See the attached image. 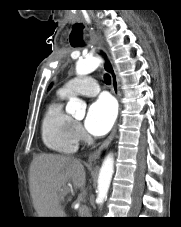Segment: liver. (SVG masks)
<instances>
[{
    "mask_svg": "<svg viewBox=\"0 0 181 227\" xmlns=\"http://www.w3.org/2000/svg\"><path fill=\"white\" fill-rule=\"evenodd\" d=\"M86 173L83 164L74 157L39 154L30 165L29 185L34 208L39 217H65L61 202L72 184L83 188Z\"/></svg>",
    "mask_w": 181,
    "mask_h": 227,
    "instance_id": "1",
    "label": "liver"
}]
</instances>
